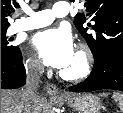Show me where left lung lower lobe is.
<instances>
[{
  "label": "left lung lower lobe",
  "mask_w": 123,
  "mask_h": 113,
  "mask_svg": "<svg viewBox=\"0 0 123 113\" xmlns=\"http://www.w3.org/2000/svg\"><path fill=\"white\" fill-rule=\"evenodd\" d=\"M101 89L123 91V52L109 57L105 63L94 61L89 77L69 88L72 92H91Z\"/></svg>",
  "instance_id": "obj_1"
}]
</instances>
